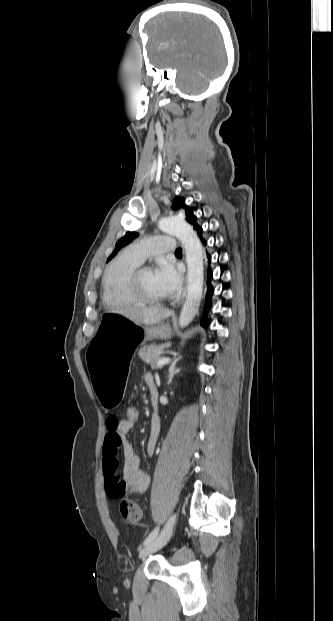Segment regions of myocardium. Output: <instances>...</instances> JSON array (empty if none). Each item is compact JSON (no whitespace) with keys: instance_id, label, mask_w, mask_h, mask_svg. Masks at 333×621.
Wrapping results in <instances>:
<instances>
[{"instance_id":"obj_1","label":"myocardium","mask_w":333,"mask_h":621,"mask_svg":"<svg viewBox=\"0 0 333 621\" xmlns=\"http://www.w3.org/2000/svg\"><path fill=\"white\" fill-rule=\"evenodd\" d=\"M151 270L147 266H142L136 268L132 274L130 275L127 282V291L129 295L134 298L138 303L143 304H160L165 302L168 299V296L164 297H152L146 294L141 288V275L145 272Z\"/></svg>"}]
</instances>
